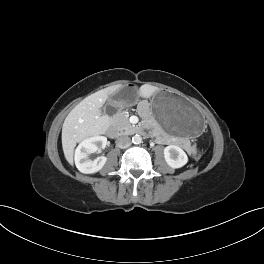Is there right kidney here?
Masks as SVG:
<instances>
[{
    "label": "right kidney",
    "mask_w": 264,
    "mask_h": 264,
    "mask_svg": "<svg viewBox=\"0 0 264 264\" xmlns=\"http://www.w3.org/2000/svg\"><path fill=\"white\" fill-rule=\"evenodd\" d=\"M107 138L104 136H94L83 140L75 150V165L81 173L93 174L98 172L105 165V156L91 160L89 155L96 152L99 147L106 146Z\"/></svg>",
    "instance_id": "ca27d5eb"
}]
</instances>
